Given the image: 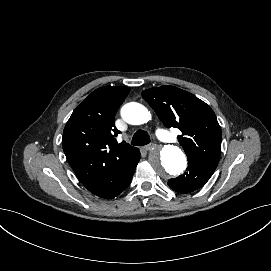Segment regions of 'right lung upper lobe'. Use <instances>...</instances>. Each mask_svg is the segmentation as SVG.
Segmentation results:
<instances>
[{"instance_id":"right-lung-upper-lobe-1","label":"right lung upper lobe","mask_w":271,"mask_h":271,"mask_svg":"<svg viewBox=\"0 0 271 271\" xmlns=\"http://www.w3.org/2000/svg\"><path fill=\"white\" fill-rule=\"evenodd\" d=\"M129 87L105 86L93 91L72 113L63 131L62 147L68 162L87 188L95 186L115 165L139 149L115 137V114Z\"/></svg>"}]
</instances>
